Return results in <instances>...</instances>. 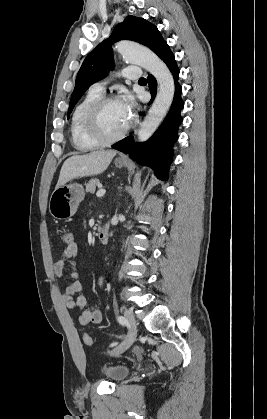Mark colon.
Wrapping results in <instances>:
<instances>
[{"mask_svg":"<svg viewBox=\"0 0 267 419\" xmlns=\"http://www.w3.org/2000/svg\"><path fill=\"white\" fill-rule=\"evenodd\" d=\"M63 243L65 244L66 248L72 247L75 245V239L71 232H65L62 236ZM83 340L86 344L90 345L92 343V339L89 334H83Z\"/></svg>","mask_w":267,"mask_h":419,"instance_id":"5ec220e1","label":"colon"}]
</instances>
